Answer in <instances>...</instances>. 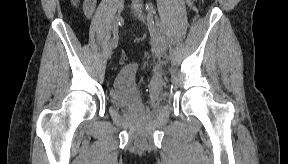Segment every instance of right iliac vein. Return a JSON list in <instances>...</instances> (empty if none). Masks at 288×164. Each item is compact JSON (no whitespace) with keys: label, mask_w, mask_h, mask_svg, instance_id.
Returning <instances> with one entry per match:
<instances>
[{"label":"right iliac vein","mask_w":288,"mask_h":164,"mask_svg":"<svg viewBox=\"0 0 288 164\" xmlns=\"http://www.w3.org/2000/svg\"><path fill=\"white\" fill-rule=\"evenodd\" d=\"M122 22H123L122 17H121V16H118V17L116 18V21H115L114 25H113V29L116 28V26L122 24ZM111 54H112V48H109V50H108V57H109V58L111 57Z\"/></svg>","instance_id":"63e3f726"}]
</instances>
